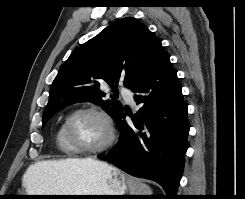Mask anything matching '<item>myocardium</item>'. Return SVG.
Segmentation results:
<instances>
[{
    "label": "myocardium",
    "mask_w": 245,
    "mask_h": 199,
    "mask_svg": "<svg viewBox=\"0 0 245 199\" xmlns=\"http://www.w3.org/2000/svg\"><path fill=\"white\" fill-rule=\"evenodd\" d=\"M80 114H94V115H96L102 119V121L105 123V125L107 127V131H108L107 139L103 144H101L100 146L95 147V148H86V147L79 146L74 141V139L71 135V132H70V124H71L72 120ZM63 133H64L66 141L72 147V149L76 153L84 154V155L102 154L112 147V145L114 144L115 139H116L115 126H114V123H113L111 117L109 116V114L106 111H104L98 107H93V106L82 107V108H78V109L73 110L66 117V119L63 123Z\"/></svg>",
    "instance_id": "f54148a6"
}]
</instances>
